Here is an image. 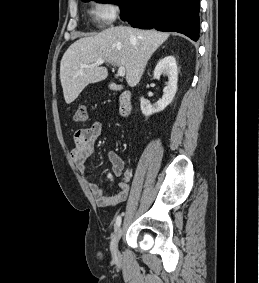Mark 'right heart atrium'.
Wrapping results in <instances>:
<instances>
[{
    "mask_svg": "<svg viewBox=\"0 0 259 283\" xmlns=\"http://www.w3.org/2000/svg\"><path fill=\"white\" fill-rule=\"evenodd\" d=\"M120 12L117 0H96L94 2V17L103 26L112 24Z\"/></svg>",
    "mask_w": 259,
    "mask_h": 283,
    "instance_id": "1",
    "label": "right heart atrium"
}]
</instances>
